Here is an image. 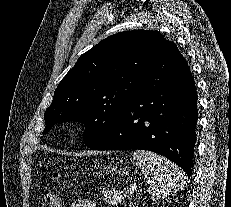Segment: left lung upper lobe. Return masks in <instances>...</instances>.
I'll use <instances>...</instances> for the list:
<instances>
[{"mask_svg": "<svg viewBox=\"0 0 231 207\" xmlns=\"http://www.w3.org/2000/svg\"><path fill=\"white\" fill-rule=\"evenodd\" d=\"M172 45L161 33L146 30L102 40L81 55L56 88L43 133L58 122L79 121L85 125V145H96L143 92L147 73Z\"/></svg>", "mask_w": 231, "mask_h": 207, "instance_id": "obj_1", "label": "left lung upper lobe"}]
</instances>
